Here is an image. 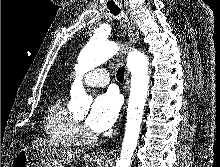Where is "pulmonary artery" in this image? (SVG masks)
I'll return each instance as SVG.
<instances>
[{"label": "pulmonary artery", "mask_w": 220, "mask_h": 167, "mask_svg": "<svg viewBox=\"0 0 220 167\" xmlns=\"http://www.w3.org/2000/svg\"><path fill=\"white\" fill-rule=\"evenodd\" d=\"M83 82L88 86L103 87L109 84L110 78L106 69L98 68L85 74Z\"/></svg>", "instance_id": "1"}]
</instances>
